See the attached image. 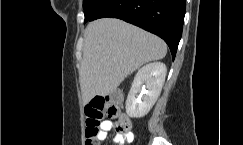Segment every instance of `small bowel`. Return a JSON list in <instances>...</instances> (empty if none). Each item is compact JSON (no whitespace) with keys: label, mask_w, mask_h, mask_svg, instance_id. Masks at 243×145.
Returning <instances> with one entry per match:
<instances>
[{"label":"small bowel","mask_w":243,"mask_h":145,"mask_svg":"<svg viewBox=\"0 0 243 145\" xmlns=\"http://www.w3.org/2000/svg\"><path fill=\"white\" fill-rule=\"evenodd\" d=\"M120 117L128 119L124 114L120 113ZM129 121V119H128ZM130 123V121H129ZM114 126V122L111 120H105L102 122L100 132L97 135V139L103 141L107 138L108 131H110ZM113 140L119 145L124 143H130L134 140V134L130 130L125 131L124 133L118 132L114 135Z\"/></svg>","instance_id":"small-bowel-1"}]
</instances>
